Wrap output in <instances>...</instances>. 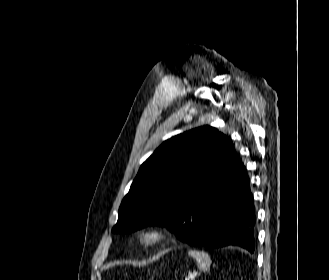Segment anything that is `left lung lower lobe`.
I'll list each match as a JSON object with an SVG mask.
<instances>
[{
  "label": "left lung lower lobe",
  "mask_w": 329,
  "mask_h": 280,
  "mask_svg": "<svg viewBox=\"0 0 329 280\" xmlns=\"http://www.w3.org/2000/svg\"><path fill=\"white\" fill-rule=\"evenodd\" d=\"M223 182L220 191L205 197L196 213L174 228V232L192 246H238L253 253L256 220L253 196L246 169L237 155L224 172Z\"/></svg>",
  "instance_id": "left-lung-lower-lobe-1"
}]
</instances>
